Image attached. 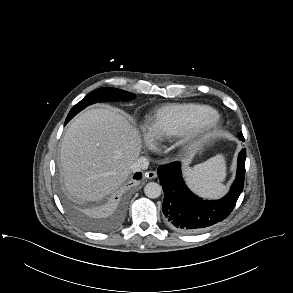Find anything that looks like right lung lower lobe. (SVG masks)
I'll use <instances>...</instances> for the list:
<instances>
[{"instance_id":"obj_1","label":"right lung lower lobe","mask_w":293,"mask_h":293,"mask_svg":"<svg viewBox=\"0 0 293 293\" xmlns=\"http://www.w3.org/2000/svg\"><path fill=\"white\" fill-rule=\"evenodd\" d=\"M142 176L141 173H136L135 176H134V179H140ZM117 199V198H116ZM110 210H114L116 212H121L122 210V207H121V204H113L111 207H110Z\"/></svg>"}]
</instances>
